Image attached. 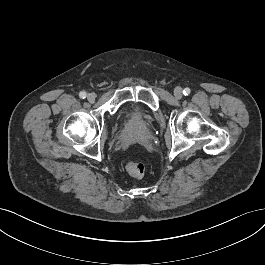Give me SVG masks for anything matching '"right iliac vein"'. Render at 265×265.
<instances>
[{
    "instance_id": "right-iliac-vein-1",
    "label": "right iliac vein",
    "mask_w": 265,
    "mask_h": 265,
    "mask_svg": "<svg viewBox=\"0 0 265 265\" xmlns=\"http://www.w3.org/2000/svg\"><path fill=\"white\" fill-rule=\"evenodd\" d=\"M87 100L90 102V103H94L95 102V95L92 94V93H89L87 95Z\"/></svg>"
}]
</instances>
